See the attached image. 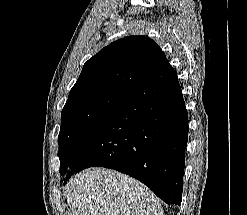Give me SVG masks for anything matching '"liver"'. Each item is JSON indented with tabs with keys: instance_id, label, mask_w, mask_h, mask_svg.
Returning <instances> with one entry per match:
<instances>
[{
	"instance_id": "liver-1",
	"label": "liver",
	"mask_w": 247,
	"mask_h": 215,
	"mask_svg": "<svg viewBox=\"0 0 247 215\" xmlns=\"http://www.w3.org/2000/svg\"><path fill=\"white\" fill-rule=\"evenodd\" d=\"M65 194L73 215H164L144 184L108 169L82 171L70 179Z\"/></svg>"
}]
</instances>
